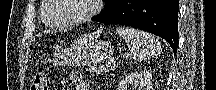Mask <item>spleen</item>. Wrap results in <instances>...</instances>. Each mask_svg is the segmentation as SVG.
<instances>
[{"instance_id": "3e777b00", "label": "spleen", "mask_w": 216, "mask_h": 90, "mask_svg": "<svg viewBox=\"0 0 216 90\" xmlns=\"http://www.w3.org/2000/svg\"><path fill=\"white\" fill-rule=\"evenodd\" d=\"M116 34L126 42L130 56L135 62H147L150 58L158 56L161 52V46L152 34L136 30V28H117Z\"/></svg>"}]
</instances>
